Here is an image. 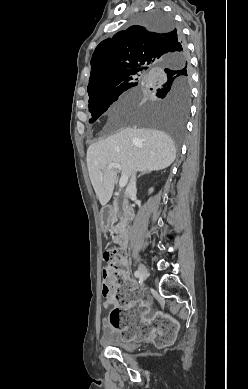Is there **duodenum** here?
Here are the masks:
<instances>
[{
  "instance_id": "410a0bca",
  "label": "duodenum",
  "mask_w": 248,
  "mask_h": 389,
  "mask_svg": "<svg viewBox=\"0 0 248 389\" xmlns=\"http://www.w3.org/2000/svg\"><path fill=\"white\" fill-rule=\"evenodd\" d=\"M117 203L115 200H112L111 201V205L112 206H115ZM124 216L126 219H130L131 216H132V211H131V208L129 206L125 207L124 208ZM128 237H129V232L127 229H124L120 235H119V238H118V244H119V247L125 251L127 249V246H128Z\"/></svg>"
}]
</instances>
